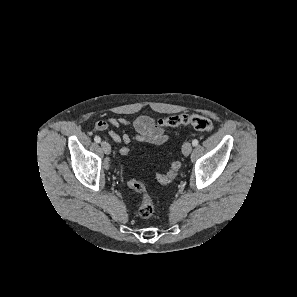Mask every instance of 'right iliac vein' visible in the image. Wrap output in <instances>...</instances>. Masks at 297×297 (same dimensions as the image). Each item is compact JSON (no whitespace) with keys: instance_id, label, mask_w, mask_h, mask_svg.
Masks as SVG:
<instances>
[{"instance_id":"obj_1","label":"right iliac vein","mask_w":297,"mask_h":297,"mask_svg":"<svg viewBox=\"0 0 297 297\" xmlns=\"http://www.w3.org/2000/svg\"><path fill=\"white\" fill-rule=\"evenodd\" d=\"M101 147H102V150L104 151L105 154H110L111 152V147L109 145L108 142L106 141H102L101 142Z\"/></svg>"}]
</instances>
